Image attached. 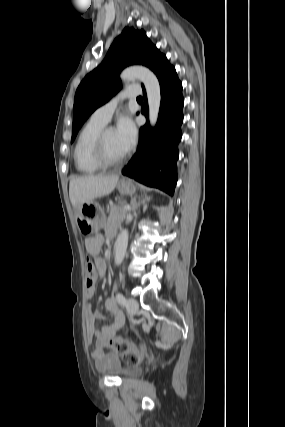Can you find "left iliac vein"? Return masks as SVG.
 <instances>
[{"mask_svg": "<svg viewBox=\"0 0 285 427\" xmlns=\"http://www.w3.org/2000/svg\"><path fill=\"white\" fill-rule=\"evenodd\" d=\"M128 309L131 312L132 315H135L139 310V303L134 298L128 299Z\"/></svg>", "mask_w": 285, "mask_h": 427, "instance_id": "1", "label": "left iliac vein"}]
</instances>
